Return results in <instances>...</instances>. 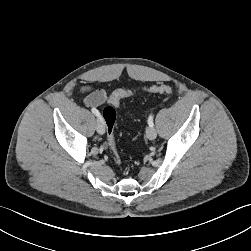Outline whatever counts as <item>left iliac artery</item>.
Here are the masks:
<instances>
[{
	"label": "left iliac artery",
	"instance_id": "left-iliac-artery-1",
	"mask_svg": "<svg viewBox=\"0 0 251 251\" xmlns=\"http://www.w3.org/2000/svg\"><path fill=\"white\" fill-rule=\"evenodd\" d=\"M148 124H149L150 127L154 126V123H153V114L149 115V117H148Z\"/></svg>",
	"mask_w": 251,
	"mask_h": 251
}]
</instances>
